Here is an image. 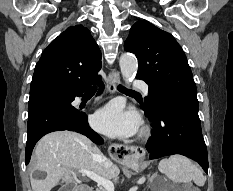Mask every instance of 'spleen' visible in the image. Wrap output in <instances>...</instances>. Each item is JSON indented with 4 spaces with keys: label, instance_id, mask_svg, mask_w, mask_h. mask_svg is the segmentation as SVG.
Listing matches in <instances>:
<instances>
[{
    "label": "spleen",
    "instance_id": "3e777b00",
    "mask_svg": "<svg viewBox=\"0 0 233 191\" xmlns=\"http://www.w3.org/2000/svg\"><path fill=\"white\" fill-rule=\"evenodd\" d=\"M158 168L173 183H190L193 181L197 186H203L205 183L201 170L182 155L177 154L162 159Z\"/></svg>",
    "mask_w": 233,
    "mask_h": 191
}]
</instances>
